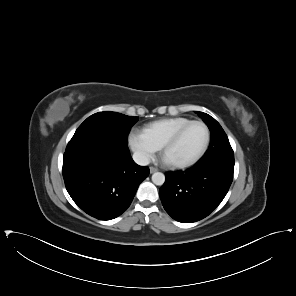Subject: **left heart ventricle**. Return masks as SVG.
Wrapping results in <instances>:
<instances>
[{"label": "left heart ventricle", "mask_w": 296, "mask_h": 296, "mask_svg": "<svg viewBox=\"0 0 296 296\" xmlns=\"http://www.w3.org/2000/svg\"><path fill=\"white\" fill-rule=\"evenodd\" d=\"M205 136V130L201 125L188 127L167 150L166 161L180 162L193 158L201 150Z\"/></svg>", "instance_id": "1"}]
</instances>
